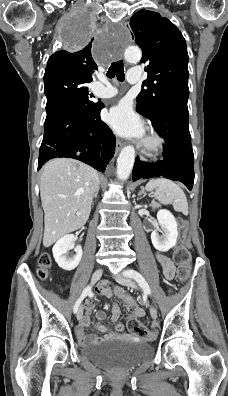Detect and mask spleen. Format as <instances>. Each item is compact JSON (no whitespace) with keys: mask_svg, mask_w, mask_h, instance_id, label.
I'll return each mask as SVG.
<instances>
[{"mask_svg":"<svg viewBox=\"0 0 228 396\" xmlns=\"http://www.w3.org/2000/svg\"><path fill=\"white\" fill-rule=\"evenodd\" d=\"M146 190L154 192V198L163 204H172L174 210L188 215V202L183 190L171 180L156 178L146 184Z\"/></svg>","mask_w":228,"mask_h":396,"instance_id":"3e777b00","label":"spleen"}]
</instances>
